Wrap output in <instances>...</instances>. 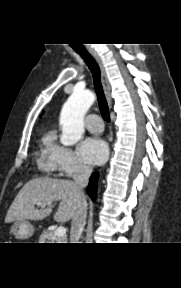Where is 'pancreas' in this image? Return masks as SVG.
<instances>
[{
  "instance_id": "obj_1",
  "label": "pancreas",
  "mask_w": 181,
  "mask_h": 288,
  "mask_svg": "<svg viewBox=\"0 0 181 288\" xmlns=\"http://www.w3.org/2000/svg\"><path fill=\"white\" fill-rule=\"evenodd\" d=\"M40 243H65L66 238L55 236L53 231H43L39 238Z\"/></svg>"
}]
</instances>
